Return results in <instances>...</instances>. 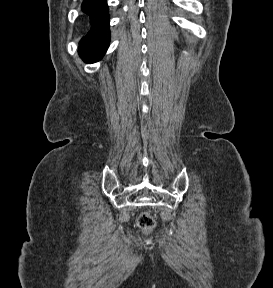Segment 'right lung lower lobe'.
Segmentation results:
<instances>
[{"label":"right lung lower lobe","instance_id":"right-lung-lower-lobe-1","mask_svg":"<svg viewBox=\"0 0 273 288\" xmlns=\"http://www.w3.org/2000/svg\"><path fill=\"white\" fill-rule=\"evenodd\" d=\"M82 11L89 16L91 29L80 41L79 54L85 62L93 63L103 57L110 41L107 2L84 0Z\"/></svg>","mask_w":273,"mask_h":288}]
</instances>
